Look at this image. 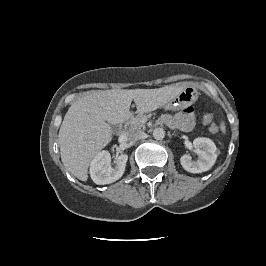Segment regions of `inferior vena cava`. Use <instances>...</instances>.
<instances>
[{
	"label": "inferior vena cava",
	"instance_id": "602c4592",
	"mask_svg": "<svg viewBox=\"0 0 266 266\" xmlns=\"http://www.w3.org/2000/svg\"><path fill=\"white\" fill-rule=\"evenodd\" d=\"M126 136L129 141H137L145 137V132L142 130L132 129L126 133Z\"/></svg>",
	"mask_w": 266,
	"mask_h": 266
}]
</instances>
